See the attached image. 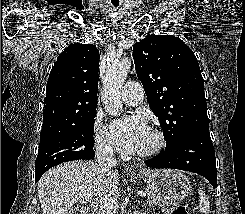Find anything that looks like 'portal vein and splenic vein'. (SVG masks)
Here are the masks:
<instances>
[{
	"label": "portal vein and splenic vein",
	"instance_id": "portal-vein-and-splenic-vein-1",
	"mask_svg": "<svg viewBox=\"0 0 245 214\" xmlns=\"http://www.w3.org/2000/svg\"><path fill=\"white\" fill-rule=\"evenodd\" d=\"M137 194L142 196V197H146V193H144L142 191L141 192H137ZM92 198H93V194L85 195V200L86 201H90V200H92ZM97 201H98V204L100 206H102V207H111V208L118 207V200L115 197L113 198V197L105 196V197L99 198V200H97Z\"/></svg>",
	"mask_w": 245,
	"mask_h": 214
}]
</instances>
